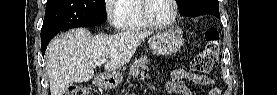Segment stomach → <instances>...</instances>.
Wrapping results in <instances>:
<instances>
[{
    "mask_svg": "<svg viewBox=\"0 0 277 95\" xmlns=\"http://www.w3.org/2000/svg\"><path fill=\"white\" fill-rule=\"evenodd\" d=\"M184 39L182 35L174 30L158 32L149 39V47L155 54L170 55L177 52L182 46ZM123 80L122 73H108L102 84L106 87H115Z\"/></svg>",
    "mask_w": 277,
    "mask_h": 95,
    "instance_id": "1",
    "label": "stomach"
}]
</instances>
